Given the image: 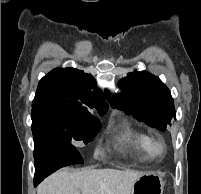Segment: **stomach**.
<instances>
[{
  "instance_id": "stomach-1",
  "label": "stomach",
  "mask_w": 201,
  "mask_h": 194,
  "mask_svg": "<svg viewBox=\"0 0 201 194\" xmlns=\"http://www.w3.org/2000/svg\"><path fill=\"white\" fill-rule=\"evenodd\" d=\"M164 182L154 173H144L132 185L130 194H163Z\"/></svg>"
}]
</instances>
